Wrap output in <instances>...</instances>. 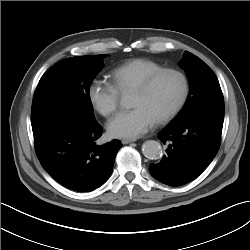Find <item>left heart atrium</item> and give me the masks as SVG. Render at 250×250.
<instances>
[{
	"label": "left heart atrium",
	"instance_id": "left-heart-atrium-1",
	"mask_svg": "<svg viewBox=\"0 0 250 250\" xmlns=\"http://www.w3.org/2000/svg\"><path fill=\"white\" fill-rule=\"evenodd\" d=\"M156 120L143 107H135L116 115L108 123L109 133L118 138H137L151 129Z\"/></svg>",
	"mask_w": 250,
	"mask_h": 250
}]
</instances>
